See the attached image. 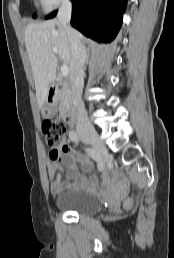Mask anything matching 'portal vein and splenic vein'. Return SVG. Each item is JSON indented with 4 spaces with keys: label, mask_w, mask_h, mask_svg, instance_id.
<instances>
[{
    "label": "portal vein and splenic vein",
    "mask_w": 174,
    "mask_h": 258,
    "mask_svg": "<svg viewBox=\"0 0 174 258\" xmlns=\"http://www.w3.org/2000/svg\"><path fill=\"white\" fill-rule=\"evenodd\" d=\"M53 52L54 53H58V50H57V48H53ZM61 72H62V76H64V77H66L67 75H68V73H69V68H68V66L67 65H63L62 67H61Z\"/></svg>",
    "instance_id": "portal-vein-and-splenic-vein-1"
}]
</instances>
